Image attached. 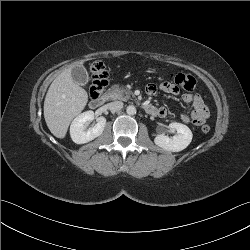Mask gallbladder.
<instances>
[{
    "mask_svg": "<svg viewBox=\"0 0 250 250\" xmlns=\"http://www.w3.org/2000/svg\"><path fill=\"white\" fill-rule=\"evenodd\" d=\"M71 75L73 80L82 86L85 85L89 80L87 70L81 65L74 66L71 70Z\"/></svg>",
    "mask_w": 250,
    "mask_h": 250,
    "instance_id": "bac80fb5",
    "label": "gallbladder"
}]
</instances>
